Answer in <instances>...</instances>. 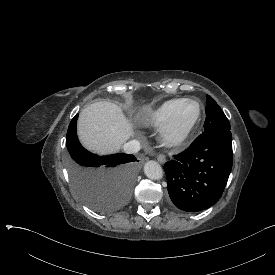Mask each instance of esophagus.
I'll return each mask as SVG.
<instances>
[{"mask_svg":"<svg viewBox=\"0 0 275 275\" xmlns=\"http://www.w3.org/2000/svg\"><path fill=\"white\" fill-rule=\"evenodd\" d=\"M144 159H147V157H145ZM157 160H158L160 163H165V162H166V156L163 155V154H160V155H158Z\"/></svg>","mask_w":275,"mask_h":275,"instance_id":"obj_1","label":"esophagus"}]
</instances>
